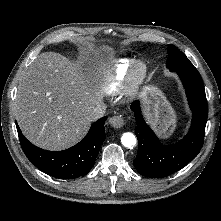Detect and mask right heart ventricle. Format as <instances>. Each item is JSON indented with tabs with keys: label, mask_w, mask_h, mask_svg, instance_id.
<instances>
[{
	"label": "right heart ventricle",
	"mask_w": 221,
	"mask_h": 221,
	"mask_svg": "<svg viewBox=\"0 0 221 221\" xmlns=\"http://www.w3.org/2000/svg\"><path fill=\"white\" fill-rule=\"evenodd\" d=\"M132 63L133 59L129 58L117 62L113 72L105 80L104 91L107 94H114L122 87Z\"/></svg>",
	"instance_id": "e07e8e85"
}]
</instances>
